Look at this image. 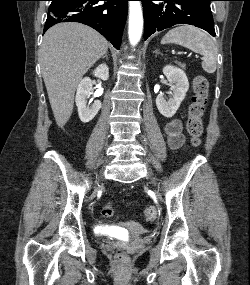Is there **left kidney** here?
Wrapping results in <instances>:
<instances>
[{
    "instance_id": "1",
    "label": "left kidney",
    "mask_w": 250,
    "mask_h": 285,
    "mask_svg": "<svg viewBox=\"0 0 250 285\" xmlns=\"http://www.w3.org/2000/svg\"><path fill=\"white\" fill-rule=\"evenodd\" d=\"M163 73L170 83L172 97L166 100L164 94H159L156 98V106L164 117L171 118L184 100L189 89V82L185 72L175 66H165Z\"/></svg>"
}]
</instances>
